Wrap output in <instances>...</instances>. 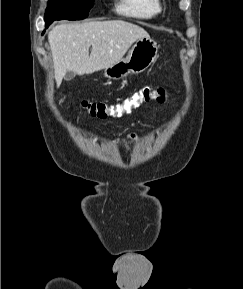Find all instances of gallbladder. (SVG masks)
I'll return each mask as SVG.
<instances>
[{
    "mask_svg": "<svg viewBox=\"0 0 243 289\" xmlns=\"http://www.w3.org/2000/svg\"><path fill=\"white\" fill-rule=\"evenodd\" d=\"M75 77V73L72 72V71H67L65 76H64V79L66 81H71L73 78Z\"/></svg>",
    "mask_w": 243,
    "mask_h": 289,
    "instance_id": "1",
    "label": "gallbladder"
}]
</instances>
